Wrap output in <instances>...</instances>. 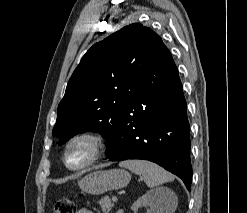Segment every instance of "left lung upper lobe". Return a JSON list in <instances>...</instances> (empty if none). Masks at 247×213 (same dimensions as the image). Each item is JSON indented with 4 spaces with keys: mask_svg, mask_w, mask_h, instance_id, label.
Returning <instances> with one entry per match:
<instances>
[{
    "mask_svg": "<svg viewBox=\"0 0 247 213\" xmlns=\"http://www.w3.org/2000/svg\"><path fill=\"white\" fill-rule=\"evenodd\" d=\"M170 51L160 36L140 23L123 27L94 44L72 74L58 106L53 135L59 144L86 131L100 132L113 143L127 101L146 72Z\"/></svg>",
    "mask_w": 247,
    "mask_h": 213,
    "instance_id": "obj_1",
    "label": "left lung upper lobe"
}]
</instances>
